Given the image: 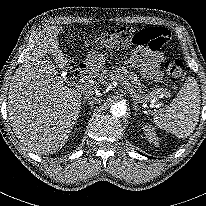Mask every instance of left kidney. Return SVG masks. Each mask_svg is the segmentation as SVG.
<instances>
[{"label":"left kidney","mask_w":206,"mask_h":206,"mask_svg":"<svg viewBox=\"0 0 206 206\" xmlns=\"http://www.w3.org/2000/svg\"><path fill=\"white\" fill-rule=\"evenodd\" d=\"M143 130L146 135V138L150 143H153L155 145L159 144V139L155 133L154 128L151 125H144Z\"/></svg>","instance_id":"1"}]
</instances>
